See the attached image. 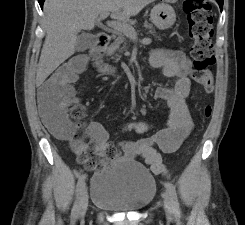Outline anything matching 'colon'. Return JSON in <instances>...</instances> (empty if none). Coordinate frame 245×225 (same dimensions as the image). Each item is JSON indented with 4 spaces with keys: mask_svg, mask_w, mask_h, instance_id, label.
<instances>
[{
    "mask_svg": "<svg viewBox=\"0 0 245 225\" xmlns=\"http://www.w3.org/2000/svg\"><path fill=\"white\" fill-rule=\"evenodd\" d=\"M210 4L206 0H184V13L188 20V30L193 40L191 54L195 62V77L207 92L212 91L213 80L208 70L214 64V54L212 49L213 25L210 14ZM82 62L76 58L69 59L61 64L58 70L50 76L43 84L45 93L66 99L71 96V83L74 79V70L81 66ZM85 108L76 103L71 106L69 115L73 122L71 124H54L55 133L63 138L69 145L78 147L80 142L77 132L83 127ZM205 116H210L211 107L204 109ZM83 160L87 167L91 169L99 168L100 161L97 159V151L94 145L86 146L82 149ZM121 152L116 147H110L107 156L110 160L116 159ZM155 167L159 174L165 173L164 165L155 159Z\"/></svg>",
    "mask_w": 245,
    "mask_h": 225,
    "instance_id": "obj_1",
    "label": "colon"
}]
</instances>
